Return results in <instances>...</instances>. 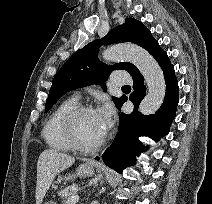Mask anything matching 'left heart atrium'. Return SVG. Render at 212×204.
<instances>
[{
  "instance_id": "left-heart-atrium-1",
  "label": "left heart atrium",
  "mask_w": 212,
  "mask_h": 204,
  "mask_svg": "<svg viewBox=\"0 0 212 204\" xmlns=\"http://www.w3.org/2000/svg\"><path fill=\"white\" fill-rule=\"evenodd\" d=\"M99 116L101 118L103 128L105 133L107 130L112 126L113 124V118H114V110L111 105L105 104L102 106L99 111Z\"/></svg>"
}]
</instances>
